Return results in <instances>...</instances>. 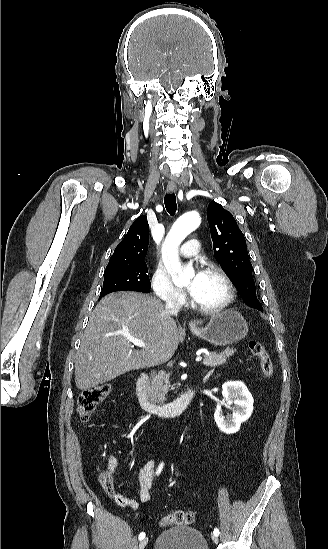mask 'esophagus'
Instances as JSON below:
<instances>
[{
	"label": "esophagus",
	"instance_id": "obj_1",
	"mask_svg": "<svg viewBox=\"0 0 328 549\" xmlns=\"http://www.w3.org/2000/svg\"><path fill=\"white\" fill-rule=\"evenodd\" d=\"M167 190H168L169 192H176V190H177L176 184H175L174 182L169 181L168 184H167ZM189 325H190V326H195V322H194V321H191V322L189 323Z\"/></svg>",
	"mask_w": 328,
	"mask_h": 549
}]
</instances>
